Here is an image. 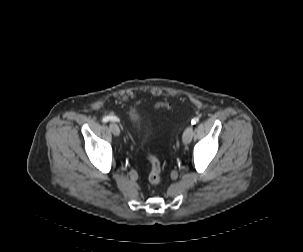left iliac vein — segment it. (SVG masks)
Instances as JSON below:
<instances>
[{
	"instance_id": "1",
	"label": "left iliac vein",
	"mask_w": 303,
	"mask_h": 252,
	"mask_svg": "<svg viewBox=\"0 0 303 252\" xmlns=\"http://www.w3.org/2000/svg\"><path fill=\"white\" fill-rule=\"evenodd\" d=\"M192 135H193V126L189 125L184 133H183V137H182V141L185 145L189 144L192 140Z\"/></svg>"
}]
</instances>
